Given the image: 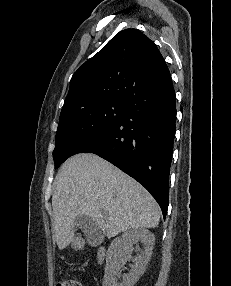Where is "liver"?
I'll return each mask as SVG.
<instances>
[{
    "label": "liver",
    "instance_id": "1",
    "mask_svg": "<svg viewBox=\"0 0 231 286\" xmlns=\"http://www.w3.org/2000/svg\"><path fill=\"white\" fill-rule=\"evenodd\" d=\"M55 239L60 250L75 238V219L86 215L108 237L154 228L161 211L136 180L92 153L72 156L62 166L52 196ZM105 209V213L100 211Z\"/></svg>",
    "mask_w": 231,
    "mask_h": 286
}]
</instances>
